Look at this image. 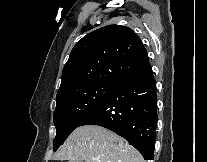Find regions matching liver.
Here are the masks:
<instances>
[{"label":"liver","instance_id":"6515ba94","mask_svg":"<svg viewBox=\"0 0 207 162\" xmlns=\"http://www.w3.org/2000/svg\"><path fill=\"white\" fill-rule=\"evenodd\" d=\"M56 159L69 162H145L125 139L98 125L76 128L60 147Z\"/></svg>","mask_w":207,"mask_h":162}]
</instances>
